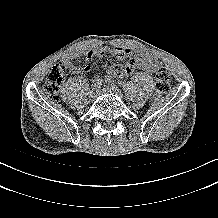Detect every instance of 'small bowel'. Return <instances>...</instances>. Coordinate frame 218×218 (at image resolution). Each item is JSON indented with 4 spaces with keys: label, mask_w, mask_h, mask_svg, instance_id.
<instances>
[{
    "label": "small bowel",
    "mask_w": 218,
    "mask_h": 218,
    "mask_svg": "<svg viewBox=\"0 0 218 218\" xmlns=\"http://www.w3.org/2000/svg\"><path fill=\"white\" fill-rule=\"evenodd\" d=\"M107 53H110L113 57L118 60H126L127 62L123 65L124 66V73L120 77H125L133 73L136 68H140L148 73H152L155 71L157 59L156 57L146 51H135L130 48L116 46L113 48L108 47H97L93 49H88L85 51H76L70 54H67L63 57V62L69 66L72 72L84 71L90 72L92 66L90 64H86L83 68L77 67L73 64L72 60L84 56L88 62L94 59H100ZM96 77L95 79H97ZM99 79V78H98Z\"/></svg>",
    "instance_id": "obj_1"
}]
</instances>
